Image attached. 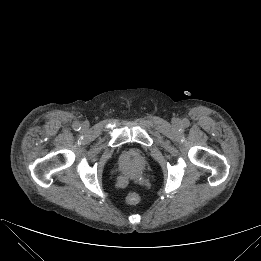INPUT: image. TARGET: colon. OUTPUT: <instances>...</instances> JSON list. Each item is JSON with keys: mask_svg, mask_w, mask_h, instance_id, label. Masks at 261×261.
<instances>
[{"mask_svg": "<svg viewBox=\"0 0 261 261\" xmlns=\"http://www.w3.org/2000/svg\"><path fill=\"white\" fill-rule=\"evenodd\" d=\"M125 201L129 205H135L140 201V195L137 192L132 191L126 196Z\"/></svg>", "mask_w": 261, "mask_h": 261, "instance_id": "5ec220e1", "label": "colon"}]
</instances>
